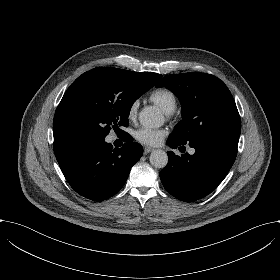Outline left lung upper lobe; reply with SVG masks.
Returning <instances> with one entry per match:
<instances>
[{
	"label": "left lung upper lobe",
	"instance_id": "obj_1",
	"mask_svg": "<svg viewBox=\"0 0 280 280\" xmlns=\"http://www.w3.org/2000/svg\"><path fill=\"white\" fill-rule=\"evenodd\" d=\"M166 87L180 100L182 120L170 137L188 141L218 135L240 136L241 122L233 96L219 78L206 73L166 75Z\"/></svg>",
	"mask_w": 280,
	"mask_h": 280
}]
</instances>
